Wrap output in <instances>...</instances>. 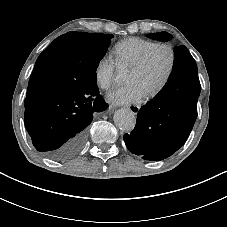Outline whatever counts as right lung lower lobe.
I'll return each instance as SVG.
<instances>
[{"instance_id":"obj_1","label":"right lung lower lobe","mask_w":227,"mask_h":227,"mask_svg":"<svg viewBox=\"0 0 227 227\" xmlns=\"http://www.w3.org/2000/svg\"><path fill=\"white\" fill-rule=\"evenodd\" d=\"M107 107L98 87L82 92L52 87L25 106V127L47 158L68 160L83 147L93 114Z\"/></svg>"}]
</instances>
